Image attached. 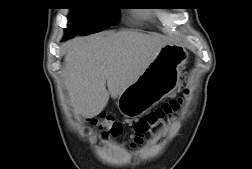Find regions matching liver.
Returning a JSON list of instances; mask_svg holds the SVG:
<instances>
[{
  "mask_svg": "<svg viewBox=\"0 0 252 169\" xmlns=\"http://www.w3.org/2000/svg\"><path fill=\"white\" fill-rule=\"evenodd\" d=\"M168 43L165 36L131 30L68 41L64 75L74 115L97 116L109 96L118 98L136 82Z\"/></svg>",
  "mask_w": 252,
  "mask_h": 169,
  "instance_id": "1",
  "label": "liver"
}]
</instances>
